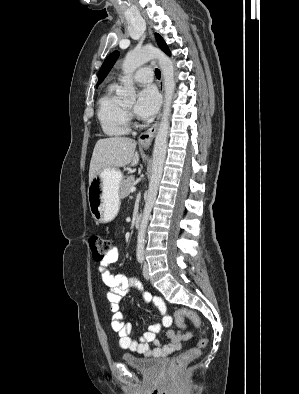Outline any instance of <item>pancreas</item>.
Returning a JSON list of instances; mask_svg holds the SVG:
<instances>
[{
  "label": "pancreas",
  "instance_id": "cf45deb5",
  "mask_svg": "<svg viewBox=\"0 0 299 394\" xmlns=\"http://www.w3.org/2000/svg\"><path fill=\"white\" fill-rule=\"evenodd\" d=\"M135 185V176H129L127 179L123 182L119 196L121 199H124L130 194V189L131 187H134Z\"/></svg>",
  "mask_w": 299,
  "mask_h": 394
}]
</instances>
